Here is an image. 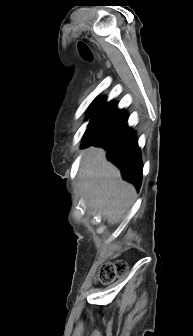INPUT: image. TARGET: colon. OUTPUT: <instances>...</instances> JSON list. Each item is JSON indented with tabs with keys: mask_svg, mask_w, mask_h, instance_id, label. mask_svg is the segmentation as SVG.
<instances>
[{
	"mask_svg": "<svg viewBox=\"0 0 193 336\" xmlns=\"http://www.w3.org/2000/svg\"><path fill=\"white\" fill-rule=\"evenodd\" d=\"M128 264L125 260L118 259L114 262L105 263L99 270L97 280L101 284H109L118 277L126 274Z\"/></svg>",
	"mask_w": 193,
	"mask_h": 336,
	"instance_id": "5ec220e1",
	"label": "colon"
}]
</instances>
